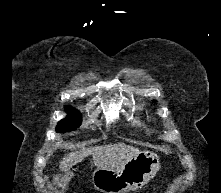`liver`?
I'll return each mask as SVG.
<instances>
[{
    "instance_id": "6515ba94",
    "label": "liver",
    "mask_w": 221,
    "mask_h": 193,
    "mask_svg": "<svg viewBox=\"0 0 221 193\" xmlns=\"http://www.w3.org/2000/svg\"><path fill=\"white\" fill-rule=\"evenodd\" d=\"M139 153L140 150L138 148L124 143L82 148L65 155L60 161L59 167L62 172H67L73 165L82 162L84 158L92 155L94 165L97 168L119 169Z\"/></svg>"
}]
</instances>
